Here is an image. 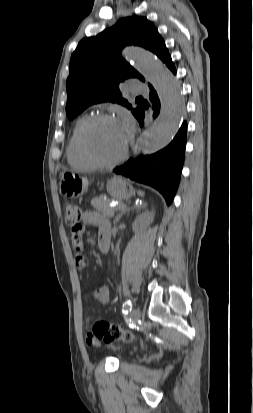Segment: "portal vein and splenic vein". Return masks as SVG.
I'll use <instances>...</instances> for the list:
<instances>
[{"mask_svg":"<svg viewBox=\"0 0 253 413\" xmlns=\"http://www.w3.org/2000/svg\"><path fill=\"white\" fill-rule=\"evenodd\" d=\"M125 206L123 205V204H121V205H118L117 206V209H123Z\"/></svg>","mask_w":253,"mask_h":413,"instance_id":"1","label":"portal vein and splenic vein"}]
</instances>
